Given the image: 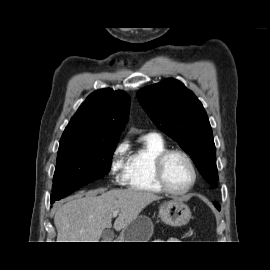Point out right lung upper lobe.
I'll return each instance as SVG.
<instances>
[{
	"instance_id": "obj_1",
	"label": "right lung upper lobe",
	"mask_w": 270,
	"mask_h": 270,
	"mask_svg": "<svg viewBox=\"0 0 270 270\" xmlns=\"http://www.w3.org/2000/svg\"><path fill=\"white\" fill-rule=\"evenodd\" d=\"M130 98L110 88L90 94L64 130L61 140L118 141L127 122Z\"/></svg>"
}]
</instances>
